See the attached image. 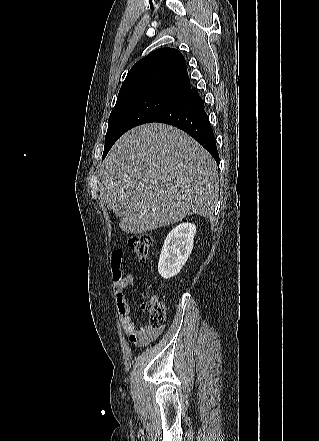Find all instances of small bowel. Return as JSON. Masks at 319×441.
Returning <instances> with one entry per match:
<instances>
[{
  "label": "small bowel",
  "mask_w": 319,
  "mask_h": 441,
  "mask_svg": "<svg viewBox=\"0 0 319 441\" xmlns=\"http://www.w3.org/2000/svg\"><path fill=\"white\" fill-rule=\"evenodd\" d=\"M124 258V252L121 249H116L112 253V264H120ZM135 288V278L132 274L122 275V285L120 287L115 285V299L120 316V321L124 330V333L128 339L137 345H146L154 341L161 334L163 327L153 328L150 325L138 326L132 316L130 305L127 301L125 289Z\"/></svg>",
  "instance_id": "small-bowel-1"
}]
</instances>
